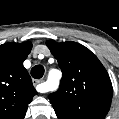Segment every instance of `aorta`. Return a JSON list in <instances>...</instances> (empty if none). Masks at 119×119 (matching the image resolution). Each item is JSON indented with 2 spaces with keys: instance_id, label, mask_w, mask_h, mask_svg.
Returning <instances> with one entry per match:
<instances>
[{
  "instance_id": "aorta-1",
  "label": "aorta",
  "mask_w": 119,
  "mask_h": 119,
  "mask_svg": "<svg viewBox=\"0 0 119 119\" xmlns=\"http://www.w3.org/2000/svg\"><path fill=\"white\" fill-rule=\"evenodd\" d=\"M59 77L54 75V71H51L48 77V85L51 90L56 89L58 86Z\"/></svg>"
}]
</instances>
